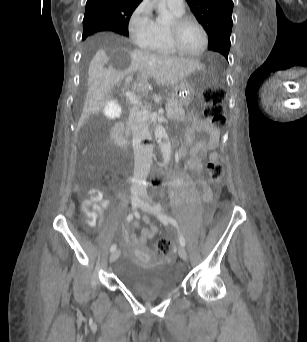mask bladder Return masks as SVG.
Masks as SVG:
<instances>
[{"instance_id": "obj_1", "label": "bladder", "mask_w": 307, "mask_h": 342, "mask_svg": "<svg viewBox=\"0 0 307 342\" xmlns=\"http://www.w3.org/2000/svg\"><path fill=\"white\" fill-rule=\"evenodd\" d=\"M119 279L129 291L149 299L166 296L180 284L179 277L172 270L145 265L130 258L123 260Z\"/></svg>"}]
</instances>
